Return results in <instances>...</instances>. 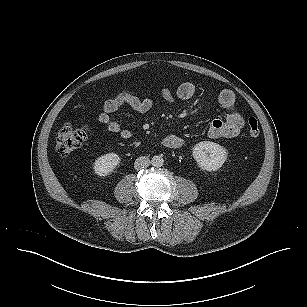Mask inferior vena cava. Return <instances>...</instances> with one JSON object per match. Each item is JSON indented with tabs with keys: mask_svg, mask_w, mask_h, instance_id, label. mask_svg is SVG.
I'll list each match as a JSON object with an SVG mask.
<instances>
[{
	"mask_svg": "<svg viewBox=\"0 0 307 307\" xmlns=\"http://www.w3.org/2000/svg\"><path fill=\"white\" fill-rule=\"evenodd\" d=\"M150 159L146 156H141V157H138L136 160H135V163H134V168L136 170H141V169H144V168H147L149 165H150Z\"/></svg>",
	"mask_w": 307,
	"mask_h": 307,
	"instance_id": "obj_1",
	"label": "inferior vena cava"
}]
</instances>
